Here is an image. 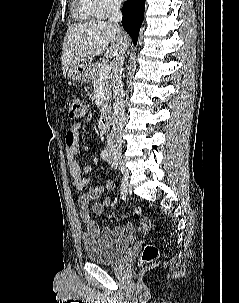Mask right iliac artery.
Instances as JSON below:
<instances>
[{
  "mask_svg": "<svg viewBox=\"0 0 239 303\" xmlns=\"http://www.w3.org/2000/svg\"><path fill=\"white\" fill-rule=\"evenodd\" d=\"M101 158L107 160L109 158L108 150L104 149L101 152ZM121 176H126V171H121ZM119 184L121 185V193L126 194L127 192V183L125 178L119 179Z\"/></svg>",
  "mask_w": 239,
  "mask_h": 303,
  "instance_id": "obj_1",
  "label": "right iliac artery"
}]
</instances>
